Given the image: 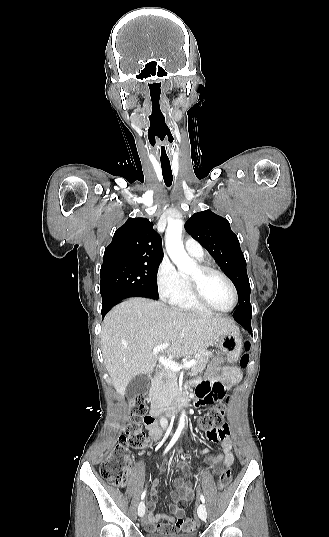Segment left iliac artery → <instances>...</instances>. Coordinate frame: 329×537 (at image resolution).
Returning <instances> with one entry per match:
<instances>
[{
  "label": "left iliac artery",
  "instance_id": "obj_1",
  "mask_svg": "<svg viewBox=\"0 0 329 537\" xmlns=\"http://www.w3.org/2000/svg\"><path fill=\"white\" fill-rule=\"evenodd\" d=\"M200 500L203 504L205 503V497L203 496V494H200Z\"/></svg>",
  "mask_w": 329,
  "mask_h": 537
}]
</instances>
